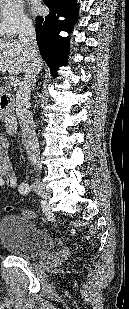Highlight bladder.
Segmentation results:
<instances>
[{"instance_id":"1","label":"bladder","mask_w":129,"mask_h":309,"mask_svg":"<svg viewBox=\"0 0 129 309\" xmlns=\"http://www.w3.org/2000/svg\"><path fill=\"white\" fill-rule=\"evenodd\" d=\"M0 243L10 253L23 258L39 257L54 247L50 234L36 228L28 218L19 214L0 218Z\"/></svg>"}]
</instances>
